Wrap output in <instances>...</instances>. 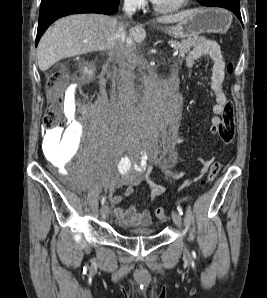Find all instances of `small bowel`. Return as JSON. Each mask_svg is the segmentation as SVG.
<instances>
[{
	"label": "small bowel",
	"mask_w": 267,
	"mask_h": 298,
	"mask_svg": "<svg viewBox=\"0 0 267 298\" xmlns=\"http://www.w3.org/2000/svg\"><path fill=\"white\" fill-rule=\"evenodd\" d=\"M205 57H208L212 62L210 89L215 100V103L212 107L214 115L211 118L210 131L213 134L219 135L221 116L227 105L230 104L223 90L225 62L219 45L216 42L210 40L201 42L188 54L186 58V66L188 69H192L197 61ZM61 133L63 134V132ZM198 162L201 165L199 176L186 180L183 183L182 188L189 186L192 181H196L202 177L207 172L211 160L200 158L198 159ZM161 168L165 171L167 170L165 166H161ZM151 171L152 167H148L144 175L138 173L127 177H116L106 183L105 189L109 193L110 202L114 207V216L121 226L127 228H138L145 232L150 226L152 222V216L149 209L144 207L140 208L141 204H134L127 208L120 207L118 204H120L124 198L132 195L134 191L139 188L141 182L143 181L149 188V191L146 193V198L148 200H155L165 194L166 188L151 179ZM123 185L127 186L124 192L120 195L114 194L115 190Z\"/></svg>",
	"instance_id": "c3829d8e"
}]
</instances>
